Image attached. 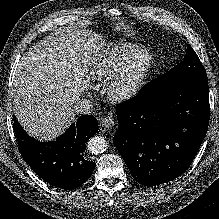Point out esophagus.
I'll list each match as a JSON object with an SVG mask.
<instances>
[{
	"instance_id": "34e87169",
	"label": "esophagus",
	"mask_w": 219,
	"mask_h": 219,
	"mask_svg": "<svg viewBox=\"0 0 219 219\" xmlns=\"http://www.w3.org/2000/svg\"><path fill=\"white\" fill-rule=\"evenodd\" d=\"M114 119L112 116H105L100 119V124L103 128L110 129L114 126Z\"/></svg>"
}]
</instances>
